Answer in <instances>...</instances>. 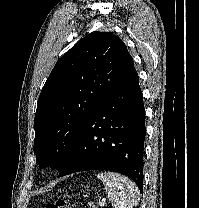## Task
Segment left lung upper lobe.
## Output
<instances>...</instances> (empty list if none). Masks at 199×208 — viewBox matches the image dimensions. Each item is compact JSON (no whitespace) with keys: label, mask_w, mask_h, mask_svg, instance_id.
<instances>
[{"label":"left lung upper lobe","mask_w":199,"mask_h":208,"mask_svg":"<svg viewBox=\"0 0 199 208\" xmlns=\"http://www.w3.org/2000/svg\"><path fill=\"white\" fill-rule=\"evenodd\" d=\"M134 62L112 32H93L56 63L38 99L34 153L40 167L59 169L86 121Z\"/></svg>","instance_id":"5c2ea615"}]
</instances>
